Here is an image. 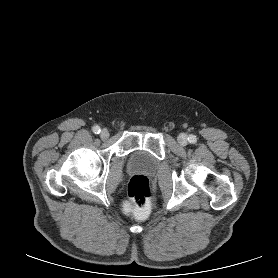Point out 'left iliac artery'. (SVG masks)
Segmentation results:
<instances>
[{"label": "left iliac artery", "mask_w": 278, "mask_h": 278, "mask_svg": "<svg viewBox=\"0 0 278 278\" xmlns=\"http://www.w3.org/2000/svg\"><path fill=\"white\" fill-rule=\"evenodd\" d=\"M188 141H189L190 143H195V142L197 141V138H196V136H194V135H190V136L188 137Z\"/></svg>", "instance_id": "left-iliac-artery-1"}]
</instances>
